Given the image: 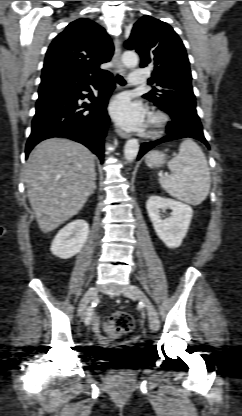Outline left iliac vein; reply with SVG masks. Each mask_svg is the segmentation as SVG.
Listing matches in <instances>:
<instances>
[{
    "label": "left iliac vein",
    "instance_id": "left-iliac-vein-1",
    "mask_svg": "<svg viewBox=\"0 0 242 416\" xmlns=\"http://www.w3.org/2000/svg\"><path fill=\"white\" fill-rule=\"evenodd\" d=\"M123 293L127 297L140 300L145 305L149 318L150 328L152 331H158L160 326L158 313L144 292L139 287L131 284L124 290Z\"/></svg>",
    "mask_w": 242,
    "mask_h": 416
}]
</instances>
